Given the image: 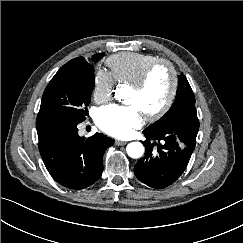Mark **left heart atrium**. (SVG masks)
Returning <instances> with one entry per match:
<instances>
[{
    "mask_svg": "<svg viewBox=\"0 0 243 243\" xmlns=\"http://www.w3.org/2000/svg\"><path fill=\"white\" fill-rule=\"evenodd\" d=\"M95 120L104 132L116 137H125L141 124L142 115L134 104H109L96 111Z\"/></svg>",
    "mask_w": 243,
    "mask_h": 243,
    "instance_id": "left-heart-atrium-1",
    "label": "left heart atrium"
}]
</instances>
